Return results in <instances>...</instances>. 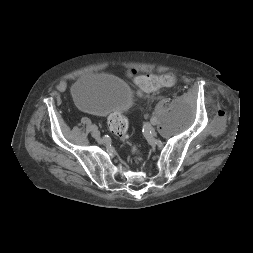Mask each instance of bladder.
Segmentation results:
<instances>
[{
	"label": "bladder",
	"mask_w": 253,
	"mask_h": 253,
	"mask_svg": "<svg viewBox=\"0 0 253 253\" xmlns=\"http://www.w3.org/2000/svg\"><path fill=\"white\" fill-rule=\"evenodd\" d=\"M71 93L81 108L98 115L123 113L133 104V93L129 85L108 74L80 77Z\"/></svg>",
	"instance_id": "31cf9c89"
}]
</instances>
